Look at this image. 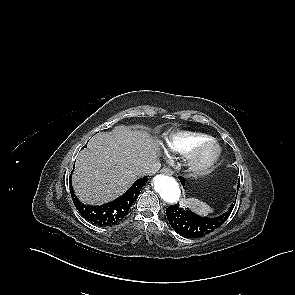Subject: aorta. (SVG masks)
<instances>
[{"instance_id":"obj_1","label":"aorta","mask_w":295,"mask_h":295,"mask_svg":"<svg viewBox=\"0 0 295 295\" xmlns=\"http://www.w3.org/2000/svg\"><path fill=\"white\" fill-rule=\"evenodd\" d=\"M153 187L160 197L168 203H177L181 197L180 186L173 177L156 175L153 178Z\"/></svg>"}]
</instances>
